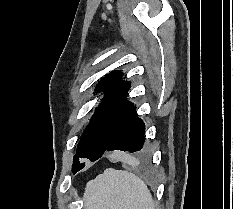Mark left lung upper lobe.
I'll use <instances>...</instances> for the list:
<instances>
[{
	"mask_svg": "<svg viewBox=\"0 0 233 209\" xmlns=\"http://www.w3.org/2000/svg\"><path fill=\"white\" fill-rule=\"evenodd\" d=\"M121 76L120 71H113L98 83L95 90H105V97L81 136L72 169L80 164L79 158L104 154L113 131L132 108L133 103L126 98L131 83L122 81Z\"/></svg>",
	"mask_w": 233,
	"mask_h": 209,
	"instance_id": "left-lung-upper-lobe-1",
	"label": "left lung upper lobe"
}]
</instances>
